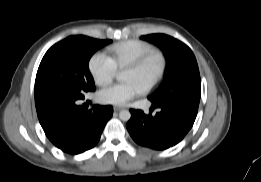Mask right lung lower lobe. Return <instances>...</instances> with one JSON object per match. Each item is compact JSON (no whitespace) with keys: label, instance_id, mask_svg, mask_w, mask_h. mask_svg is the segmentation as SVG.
<instances>
[{"label":"right lung lower lobe","instance_id":"right-lung-lower-lobe-1","mask_svg":"<svg viewBox=\"0 0 261 182\" xmlns=\"http://www.w3.org/2000/svg\"><path fill=\"white\" fill-rule=\"evenodd\" d=\"M76 100L56 94L36 101L39 122L49 140L62 151L79 154L94 147L112 117V106L87 110Z\"/></svg>","mask_w":261,"mask_h":182}]
</instances>
